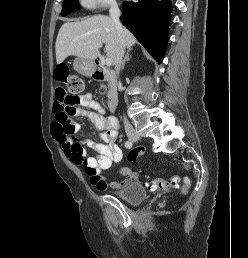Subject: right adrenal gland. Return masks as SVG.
I'll use <instances>...</instances> for the list:
<instances>
[{
  "instance_id": "1",
  "label": "right adrenal gland",
  "mask_w": 248,
  "mask_h": 258,
  "mask_svg": "<svg viewBox=\"0 0 248 258\" xmlns=\"http://www.w3.org/2000/svg\"><path fill=\"white\" fill-rule=\"evenodd\" d=\"M130 59H131V57H130V50L128 49V51H127V53H126V55H125V58H124V60H123V62H122V64H121V71L124 70L125 63H126L127 61H129Z\"/></svg>"
}]
</instances>
